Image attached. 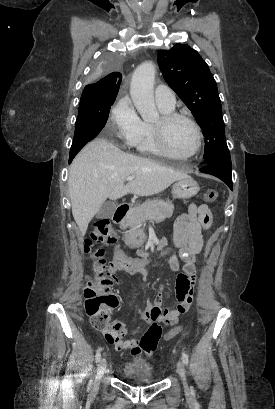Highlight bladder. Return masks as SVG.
<instances>
[{"mask_svg":"<svg viewBox=\"0 0 275 409\" xmlns=\"http://www.w3.org/2000/svg\"><path fill=\"white\" fill-rule=\"evenodd\" d=\"M121 373L124 380L132 384L148 385L156 383V376L152 367L145 361H129L123 365Z\"/></svg>","mask_w":275,"mask_h":409,"instance_id":"bladder-1","label":"bladder"}]
</instances>
